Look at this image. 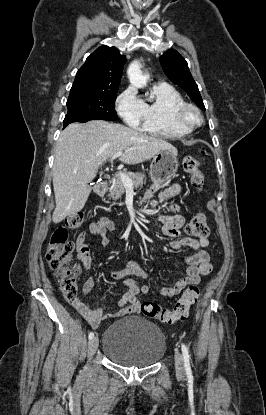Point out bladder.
<instances>
[{"mask_svg":"<svg viewBox=\"0 0 266 415\" xmlns=\"http://www.w3.org/2000/svg\"><path fill=\"white\" fill-rule=\"evenodd\" d=\"M102 351L118 365L147 367L164 356L166 339L156 324L139 316L126 317L108 326Z\"/></svg>","mask_w":266,"mask_h":415,"instance_id":"31cf9c89","label":"bladder"}]
</instances>
